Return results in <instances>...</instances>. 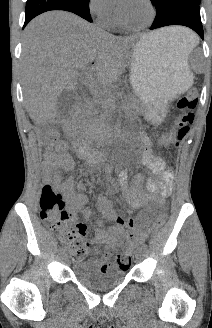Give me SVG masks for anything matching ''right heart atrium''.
<instances>
[{"mask_svg":"<svg viewBox=\"0 0 212 328\" xmlns=\"http://www.w3.org/2000/svg\"><path fill=\"white\" fill-rule=\"evenodd\" d=\"M89 11L98 21L106 23L112 16L113 5L110 0H89Z\"/></svg>","mask_w":212,"mask_h":328,"instance_id":"d8ad5b80","label":"right heart atrium"}]
</instances>
